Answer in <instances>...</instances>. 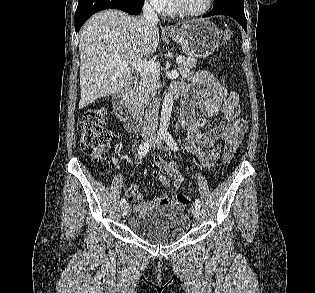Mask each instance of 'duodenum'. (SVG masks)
<instances>
[{
    "instance_id": "410a0bca",
    "label": "duodenum",
    "mask_w": 315,
    "mask_h": 293,
    "mask_svg": "<svg viewBox=\"0 0 315 293\" xmlns=\"http://www.w3.org/2000/svg\"><path fill=\"white\" fill-rule=\"evenodd\" d=\"M133 91L132 85H126L113 98L116 115L129 131L137 130L141 123L139 110L131 100ZM175 95L177 96V93Z\"/></svg>"
}]
</instances>
